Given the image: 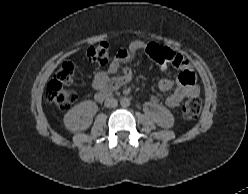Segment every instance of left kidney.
Segmentation results:
<instances>
[{
    "instance_id": "5707ae66",
    "label": "left kidney",
    "mask_w": 248,
    "mask_h": 194,
    "mask_svg": "<svg viewBox=\"0 0 248 194\" xmlns=\"http://www.w3.org/2000/svg\"><path fill=\"white\" fill-rule=\"evenodd\" d=\"M154 122L158 126L168 129L174 125V117L168 109L163 107L154 114Z\"/></svg>"
}]
</instances>
